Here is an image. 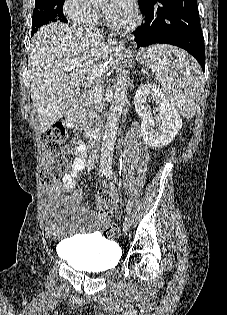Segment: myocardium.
<instances>
[{
	"label": "myocardium",
	"mask_w": 227,
	"mask_h": 315,
	"mask_svg": "<svg viewBox=\"0 0 227 315\" xmlns=\"http://www.w3.org/2000/svg\"><path fill=\"white\" fill-rule=\"evenodd\" d=\"M138 20H139L138 16L135 13H133L131 15L130 21L126 25H124V26L112 25V26L115 28H119L121 30H124V31H128V30L133 29L137 25Z\"/></svg>",
	"instance_id": "obj_1"
}]
</instances>
